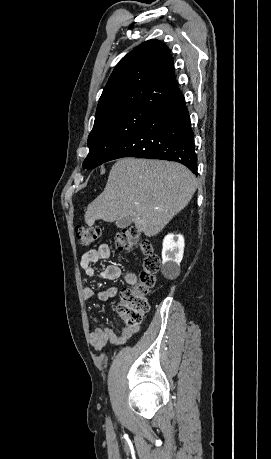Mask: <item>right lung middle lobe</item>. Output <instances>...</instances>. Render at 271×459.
I'll use <instances>...</instances> for the list:
<instances>
[{
	"instance_id": "1",
	"label": "right lung middle lobe",
	"mask_w": 271,
	"mask_h": 459,
	"mask_svg": "<svg viewBox=\"0 0 271 459\" xmlns=\"http://www.w3.org/2000/svg\"><path fill=\"white\" fill-rule=\"evenodd\" d=\"M155 113L147 108H132L96 118L88 137L90 151L83 168L91 170L106 162L109 155Z\"/></svg>"
}]
</instances>
